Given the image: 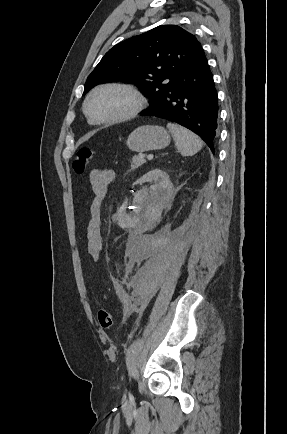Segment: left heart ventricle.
I'll list each match as a JSON object with an SVG mask.
<instances>
[{
  "label": "left heart ventricle",
  "instance_id": "1",
  "mask_svg": "<svg viewBox=\"0 0 287 434\" xmlns=\"http://www.w3.org/2000/svg\"><path fill=\"white\" fill-rule=\"evenodd\" d=\"M133 105V98L124 90L107 88L91 99L89 111L96 119L114 118L125 114Z\"/></svg>",
  "mask_w": 287,
  "mask_h": 434
}]
</instances>
